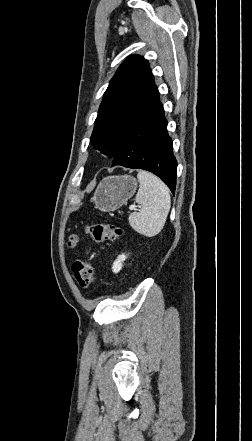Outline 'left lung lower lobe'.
<instances>
[{
  "mask_svg": "<svg viewBox=\"0 0 252 441\" xmlns=\"http://www.w3.org/2000/svg\"><path fill=\"white\" fill-rule=\"evenodd\" d=\"M159 92L154 84L144 107L132 122L113 157L112 165L150 171L160 177L172 193L176 187L177 161Z\"/></svg>",
  "mask_w": 252,
  "mask_h": 441,
  "instance_id": "obj_1",
  "label": "left lung lower lobe"
}]
</instances>
